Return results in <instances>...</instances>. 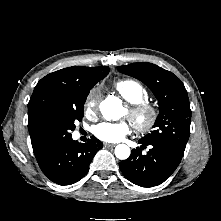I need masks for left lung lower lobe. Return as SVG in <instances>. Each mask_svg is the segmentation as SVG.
Here are the masks:
<instances>
[{"instance_id":"obj_1","label":"left lung lower lobe","mask_w":221,"mask_h":221,"mask_svg":"<svg viewBox=\"0 0 221 221\" xmlns=\"http://www.w3.org/2000/svg\"><path fill=\"white\" fill-rule=\"evenodd\" d=\"M140 144L151 145L146 155L137 147L128 159L119 163L123 175L141 187H153L163 183L175 171L183 157V151L165 144L148 143L141 139ZM141 146V147H142Z\"/></svg>"}]
</instances>
